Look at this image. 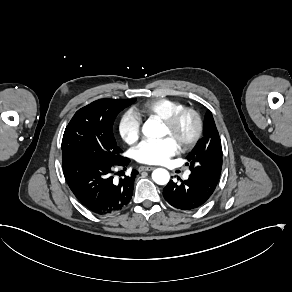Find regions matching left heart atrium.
<instances>
[{
    "mask_svg": "<svg viewBox=\"0 0 292 292\" xmlns=\"http://www.w3.org/2000/svg\"><path fill=\"white\" fill-rule=\"evenodd\" d=\"M179 144L171 137L145 140L136 149V159L145 164H161L179 152Z\"/></svg>",
    "mask_w": 292,
    "mask_h": 292,
    "instance_id": "1",
    "label": "left heart atrium"
}]
</instances>
